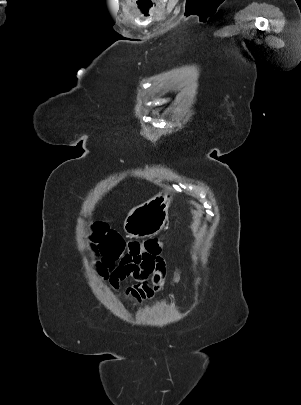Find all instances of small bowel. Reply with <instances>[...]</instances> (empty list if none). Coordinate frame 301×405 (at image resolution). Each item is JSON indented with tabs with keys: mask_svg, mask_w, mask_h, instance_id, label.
<instances>
[{
	"mask_svg": "<svg viewBox=\"0 0 301 405\" xmlns=\"http://www.w3.org/2000/svg\"><path fill=\"white\" fill-rule=\"evenodd\" d=\"M163 246V244H162ZM96 268L100 275L117 290L122 281L133 277L135 283L126 288L124 294L127 298H132L138 303L153 299L164 289V277L166 271L165 260L162 250L159 254L146 257L121 258L117 264L108 266L101 260L96 262ZM182 279V273L177 270L170 284L171 288H176Z\"/></svg>",
	"mask_w": 301,
	"mask_h": 405,
	"instance_id": "small-bowel-1",
	"label": "small bowel"
}]
</instances>
